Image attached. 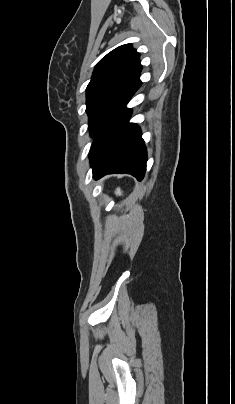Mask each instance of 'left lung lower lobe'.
<instances>
[{"label":"left lung lower lobe","mask_w":235,"mask_h":404,"mask_svg":"<svg viewBox=\"0 0 235 404\" xmlns=\"http://www.w3.org/2000/svg\"><path fill=\"white\" fill-rule=\"evenodd\" d=\"M131 99V98H130ZM129 99V100H130ZM127 100L98 130L89 154L94 179L106 174L128 173L141 181L146 171L147 151L140 128L129 123Z\"/></svg>","instance_id":"obj_1"}]
</instances>
